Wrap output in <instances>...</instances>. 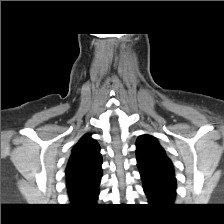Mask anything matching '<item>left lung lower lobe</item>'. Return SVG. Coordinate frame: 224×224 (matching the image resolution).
<instances>
[{
    "mask_svg": "<svg viewBox=\"0 0 224 224\" xmlns=\"http://www.w3.org/2000/svg\"><path fill=\"white\" fill-rule=\"evenodd\" d=\"M143 188L151 204H172L176 195V179L173 175L140 172Z\"/></svg>",
    "mask_w": 224,
    "mask_h": 224,
    "instance_id": "obj_1",
    "label": "left lung lower lobe"
}]
</instances>
